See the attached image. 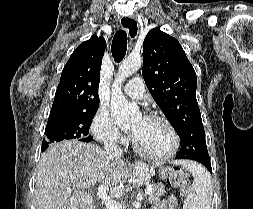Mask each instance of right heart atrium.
<instances>
[{
    "instance_id": "d8ad5b80",
    "label": "right heart atrium",
    "mask_w": 253,
    "mask_h": 209,
    "mask_svg": "<svg viewBox=\"0 0 253 209\" xmlns=\"http://www.w3.org/2000/svg\"><path fill=\"white\" fill-rule=\"evenodd\" d=\"M91 130L97 141L103 144H121L124 137L115 125L111 115L103 109L95 114Z\"/></svg>"
}]
</instances>
